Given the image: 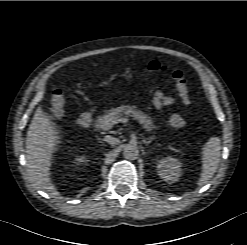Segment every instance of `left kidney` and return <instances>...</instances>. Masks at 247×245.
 Listing matches in <instances>:
<instances>
[{"label": "left kidney", "instance_id": "5707ae66", "mask_svg": "<svg viewBox=\"0 0 247 245\" xmlns=\"http://www.w3.org/2000/svg\"><path fill=\"white\" fill-rule=\"evenodd\" d=\"M181 167L182 164L178 159L169 156L158 161L157 172L164 181L174 183L181 176Z\"/></svg>", "mask_w": 247, "mask_h": 245}]
</instances>
